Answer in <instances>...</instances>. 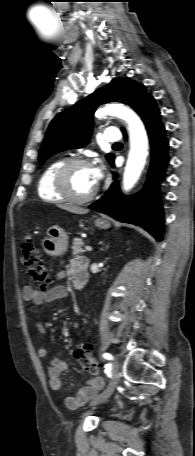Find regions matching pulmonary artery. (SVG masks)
Returning a JSON list of instances; mask_svg holds the SVG:
<instances>
[{
    "mask_svg": "<svg viewBox=\"0 0 195 456\" xmlns=\"http://www.w3.org/2000/svg\"><path fill=\"white\" fill-rule=\"evenodd\" d=\"M104 139L107 142H114V143L119 142L121 140V133L117 128L110 127L105 131Z\"/></svg>",
    "mask_w": 195,
    "mask_h": 456,
    "instance_id": "e3ab8cb5",
    "label": "pulmonary artery"
}]
</instances>
